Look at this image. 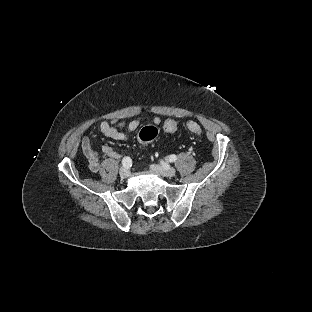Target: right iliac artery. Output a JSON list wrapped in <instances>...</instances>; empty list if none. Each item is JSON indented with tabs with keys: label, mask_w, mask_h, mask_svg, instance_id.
I'll return each mask as SVG.
<instances>
[{
	"label": "right iliac artery",
	"mask_w": 312,
	"mask_h": 312,
	"mask_svg": "<svg viewBox=\"0 0 312 312\" xmlns=\"http://www.w3.org/2000/svg\"><path fill=\"white\" fill-rule=\"evenodd\" d=\"M122 165L124 167H131L132 166V160L130 159V157H124L123 160H122Z\"/></svg>",
	"instance_id": "82829eb1"
}]
</instances>
